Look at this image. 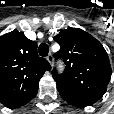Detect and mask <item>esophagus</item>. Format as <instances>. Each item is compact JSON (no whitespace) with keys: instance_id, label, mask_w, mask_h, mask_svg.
<instances>
[{"instance_id":"1","label":"esophagus","mask_w":114,"mask_h":114,"mask_svg":"<svg viewBox=\"0 0 114 114\" xmlns=\"http://www.w3.org/2000/svg\"><path fill=\"white\" fill-rule=\"evenodd\" d=\"M46 58H47V61L50 63L51 67H53V56L49 54Z\"/></svg>"}]
</instances>
